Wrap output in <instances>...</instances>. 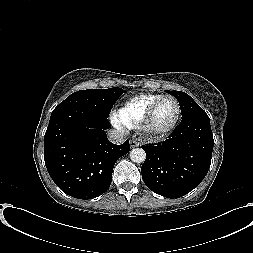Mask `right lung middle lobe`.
Listing matches in <instances>:
<instances>
[{"instance_id":"obj_1","label":"right lung middle lobe","mask_w":253,"mask_h":253,"mask_svg":"<svg viewBox=\"0 0 253 253\" xmlns=\"http://www.w3.org/2000/svg\"><path fill=\"white\" fill-rule=\"evenodd\" d=\"M123 94L121 88L87 89L77 91L68 96L56 108L78 106L108 118L113 104Z\"/></svg>"}]
</instances>
